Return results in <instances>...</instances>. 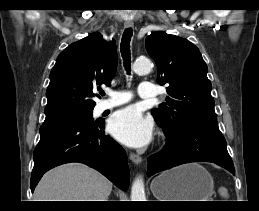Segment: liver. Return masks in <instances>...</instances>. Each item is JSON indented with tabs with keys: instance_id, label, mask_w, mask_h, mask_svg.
Returning <instances> with one entry per match:
<instances>
[{
	"instance_id": "obj_1",
	"label": "liver",
	"mask_w": 259,
	"mask_h": 211,
	"mask_svg": "<svg viewBox=\"0 0 259 211\" xmlns=\"http://www.w3.org/2000/svg\"><path fill=\"white\" fill-rule=\"evenodd\" d=\"M112 183L81 163L58 166L43 175L34 201H108Z\"/></svg>"
}]
</instances>
